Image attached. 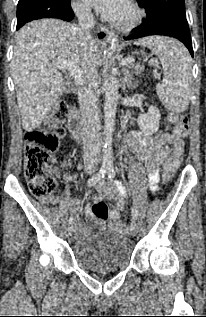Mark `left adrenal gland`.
<instances>
[{
  "label": "left adrenal gland",
  "mask_w": 206,
  "mask_h": 317,
  "mask_svg": "<svg viewBox=\"0 0 206 317\" xmlns=\"http://www.w3.org/2000/svg\"><path fill=\"white\" fill-rule=\"evenodd\" d=\"M123 74H124V78H123V89H125L127 86L129 89H133L136 87V82L132 81V72H130L128 69H123Z\"/></svg>",
  "instance_id": "obj_1"
}]
</instances>
